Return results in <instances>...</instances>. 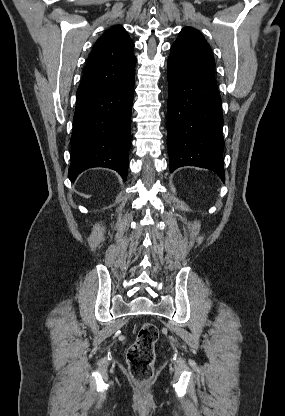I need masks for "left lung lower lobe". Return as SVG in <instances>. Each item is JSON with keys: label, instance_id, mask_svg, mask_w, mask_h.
I'll use <instances>...</instances> for the list:
<instances>
[{"label": "left lung lower lobe", "instance_id": "left-lung-lower-lobe-1", "mask_svg": "<svg viewBox=\"0 0 285 416\" xmlns=\"http://www.w3.org/2000/svg\"><path fill=\"white\" fill-rule=\"evenodd\" d=\"M167 144L170 171L196 166L225 180L223 116L215 81L168 59Z\"/></svg>", "mask_w": 285, "mask_h": 416}]
</instances>
